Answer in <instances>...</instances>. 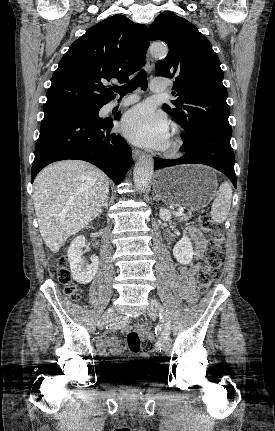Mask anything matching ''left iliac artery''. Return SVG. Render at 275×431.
<instances>
[{"label": "left iliac artery", "mask_w": 275, "mask_h": 431, "mask_svg": "<svg viewBox=\"0 0 275 431\" xmlns=\"http://www.w3.org/2000/svg\"><path fill=\"white\" fill-rule=\"evenodd\" d=\"M159 315H160V319H162L165 322L164 332L156 343V350L161 352L165 339L168 338L170 335L171 324H170L169 316L163 307H160Z\"/></svg>", "instance_id": "left-iliac-artery-1"}]
</instances>
